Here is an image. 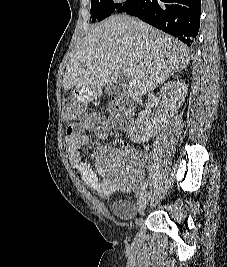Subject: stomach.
Returning <instances> with one entry per match:
<instances>
[{
	"label": "stomach",
	"instance_id": "obj_1",
	"mask_svg": "<svg viewBox=\"0 0 227 267\" xmlns=\"http://www.w3.org/2000/svg\"><path fill=\"white\" fill-rule=\"evenodd\" d=\"M90 92V91H89ZM89 92H86V91H79L77 97L78 99H69V104H80V103H84L85 102V99H88L89 96L92 94V93H89Z\"/></svg>",
	"mask_w": 227,
	"mask_h": 267
}]
</instances>
